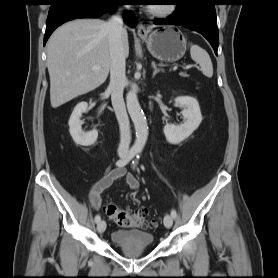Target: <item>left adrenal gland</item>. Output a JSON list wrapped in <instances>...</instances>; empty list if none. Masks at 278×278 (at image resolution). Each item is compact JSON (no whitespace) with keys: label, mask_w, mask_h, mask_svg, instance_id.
<instances>
[{"label":"left adrenal gland","mask_w":278,"mask_h":278,"mask_svg":"<svg viewBox=\"0 0 278 278\" xmlns=\"http://www.w3.org/2000/svg\"><path fill=\"white\" fill-rule=\"evenodd\" d=\"M152 67H153V69H154V71H153V77H155V75H156L157 73H159L160 71H163V69L157 68V66H156V64H155L154 61H152Z\"/></svg>","instance_id":"1"}]
</instances>
